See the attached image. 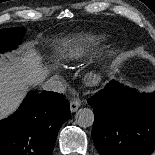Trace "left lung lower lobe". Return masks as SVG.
Masks as SVG:
<instances>
[{
  "instance_id": "left-lung-lower-lobe-1",
  "label": "left lung lower lobe",
  "mask_w": 155,
  "mask_h": 155,
  "mask_svg": "<svg viewBox=\"0 0 155 155\" xmlns=\"http://www.w3.org/2000/svg\"><path fill=\"white\" fill-rule=\"evenodd\" d=\"M92 138L101 155H150L155 150V94L111 81L87 100Z\"/></svg>"
}]
</instances>
